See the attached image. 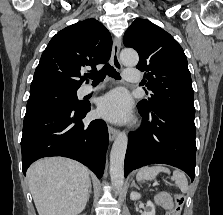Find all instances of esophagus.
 I'll use <instances>...</instances> for the list:
<instances>
[{
	"mask_svg": "<svg viewBox=\"0 0 223 215\" xmlns=\"http://www.w3.org/2000/svg\"><path fill=\"white\" fill-rule=\"evenodd\" d=\"M121 42L119 39L114 38L113 46H112V54H111V63L116 70H122V64L119 59V52H120ZM108 132H109V140L112 142L115 137L119 134V130L116 128L111 127L108 125Z\"/></svg>",
	"mask_w": 223,
	"mask_h": 215,
	"instance_id": "1",
	"label": "esophagus"
}]
</instances>
